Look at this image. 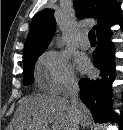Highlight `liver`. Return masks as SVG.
<instances>
[{"mask_svg":"<svg viewBox=\"0 0 123 130\" xmlns=\"http://www.w3.org/2000/svg\"><path fill=\"white\" fill-rule=\"evenodd\" d=\"M82 126L90 123L88 108L78 102ZM72 111L68 96L32 95L23 97L9 125V130H71Z\"/></svg>","mask_w":123,"mask_h":130,"instance_id":"6515ba94","label":"liver"}]
</instances>
